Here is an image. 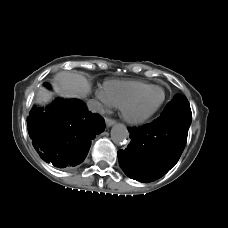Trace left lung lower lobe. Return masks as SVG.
Here are the masks:
<instances>
[{
  "mask_svg": "<svg viewBox=\"0 0 228 228\" xmlns=\"http://www.w3.org/2000/svg\"><path fill=\"white\" fill-rule=\"evenodd\" d=\"M191 117L164 113L153 122L128 128L131 142L118 151L120 167L132 179L150 182L178 162L187 141Z\"/></svg>",
  "mask_w": 228,
  "mask_h": 228,
  "instance_id": "left-lung-lower-lobe-1",
  "label": "left lung lower lobe"
}]
</instances>
